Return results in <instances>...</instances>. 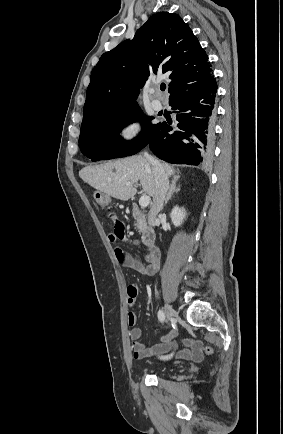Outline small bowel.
<instances>
[{
	"label": "small bowel",
	"instance_id": "small-bowel-1",
	"mask_svg": "<svg viewBox=\"0 0 283 434\" xmlns=\"http://www.w3.org/2000/svg\"><path fill=\"white\" fill-rule=\"evenodd\" d=\"M114 220V229L108 234V240L110 242H116L118 240L129 241L133 244H138V241L131 240L125 231L124 224L111 215ZM115 255L117 259L122 263L124 267L133 269L143 275L152 276L156 273L159 267V251L154 248L150 249L145 255L146 264L140 260L134 258L131 254L124 252L121 248L115 249ZM138 294V287L136 284H129L127 287V303L132 306L135 303ZM128 325L131 327L129 337L131 340V347L133 351V357L135 359H143L154 356H169L177 348L175 336L176 330H172L168 335L163 336L159 342L152 346H146L140 342L142 336V330L136 326L137 317L134 312H129L127 315ZM169 354V355H167ZM177 357L187 360H198L202 357V348L199 341L192 338H185L183 340V348L177 352Z\"/></svg>",
	"mask_w": 283,
	"mask_h": 434
}]
</instances>
